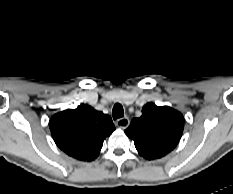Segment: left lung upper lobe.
Masks as SVG:
<instances>
[{
  "label": "left lung upper lobe",
  "mask_w": 233,
  "mask_h": 194,
  "mask_svg": "<svg viewBox=\"0 0 233 194\" xmlns=\"http://www.w3.org/2000/svg\"><path fill=\"white\" fill-rule=\"evenodd\" d=\"M184 118L167 106L147 103L142 116L134 118L125 134L134 141L138 153L148 160L158 159L175 148L183 132Z\"/></svg>",
  "instance_id": "left-lung-upper-lobe-1"
}]
</instances>
